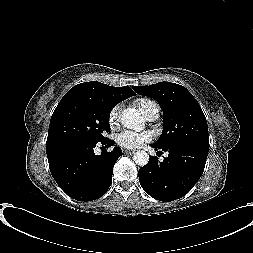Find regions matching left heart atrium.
I'll return each instance as SVG.
<instances>
[{
	"label": "left heart atrium",
	"instance_id": "obj_1",
	"mask_svg": "<svg viewBox=\"0 0 253 253\" xmlns=\"http://www.w3.org/2000/svg\"><path fill=\"white\" fill-rule=\"evenodd\" d=\"M153 138L154 133L149 130L142 132L124 130L116 136V142L123 148L136 149L151 141Z\"/></svg>",
	"mask_w": 253,
	"mask_h": 253
}]
</instances>
